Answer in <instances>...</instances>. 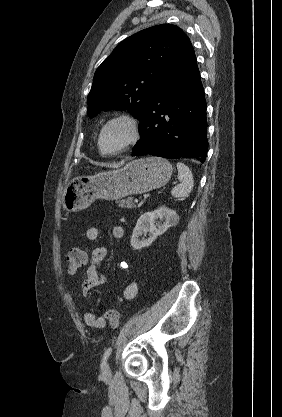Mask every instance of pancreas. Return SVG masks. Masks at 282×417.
<instances>
[{
    "label": "pancreas",
    "instance_id": "1",
    "mask_svg": "<svg viewBox=\"0 0 282 417\" xmlns=\"http://www.w3.org/2000/svg\"><path fill=\"white\" fill-rule=\"evenodd\" d=\"M116 202H118L119 206H126V209H134V206H136L135 202H133V196L116 200Z\"/></svg>",
    "mask_w": 282,
    "mask_h": 417
}]
</instances>
